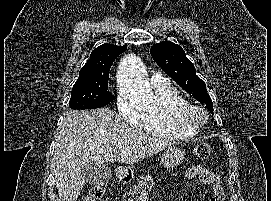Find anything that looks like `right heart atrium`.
Here are the masks:
<instances>
[{
	"mask_svg": "<svg viewBox=\"0 0 271 201\" xmlns=\"http://www.w3.org/2000/svg\"><path fill=\"white\" fill-rule=\"evenodd\" d=\"M116 106L119 113L123 118L137 127H143L145 124L146 116L144 113L138 111L130 101L122 94H117Z\"/></svg>",
	"mask_w": 271,
	"mask_h": 201,
	"instance_id": "right-heart-atrium-1",
	"label": "right heart atrium"
}]
</instances>
